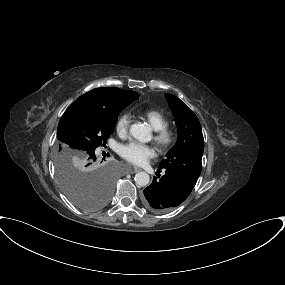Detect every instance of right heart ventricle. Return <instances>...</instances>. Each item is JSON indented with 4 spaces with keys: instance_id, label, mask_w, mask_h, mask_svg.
Here are the masks:
<instances>
[{
    "instance_id": "1",
    "label": "right heart ventricle",
    "mask_w": 285,
    "mask_h": 285,
    "mask_svg": "<svg viewBox=\"0 0 285 285\" xmlns=\"http://www.w3.org/2000/svg\"><path fill=\"white\" fill-rule=\"evenodd\" d=\"M140 115L145 118L154 130H158L168 125V118L158 109H145L140 112Z\"/></svg>"
}]
</instances>
